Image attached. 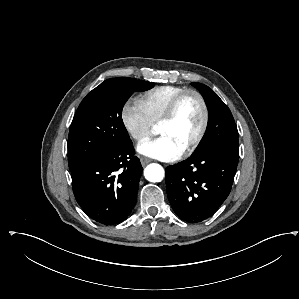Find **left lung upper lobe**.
Here are the masks:
<instances>
[{"label":"left lung upper lobe","instance_id":"left-lung-upper-lobe-1","mask_svg":"<svg viewBox=\"0 0 299 299\" xmlns=\"http://www.w3.org/2000/svg\"><path fill=\"white\" fill-rule=\"evenodd\" d=\"M191 85L200 91L209 111L206 132L192 156L216 149L238 154V131L229 108L208 86L201 83Z\"/></svg>","mask_w":299,"mask_h":299}]
</instances>
